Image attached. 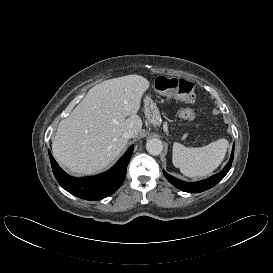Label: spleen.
<instances>
[{"label": "spleen", "instance_id": "1", "mask_svg": "<svg viewBox=\"0 0 273 273\" xmlns=\"http://www.w3.org/2000/svg\"><path fill=\"white\" fill-rule=\"evenodd\" d=\"M228 141L218 139L204 147L187 148L173 144L172 161L181 173L188 177H204L211 174L224 160Z\"/></svg>", "mask_w": 273, "mask_h": 273}]
</instances>
